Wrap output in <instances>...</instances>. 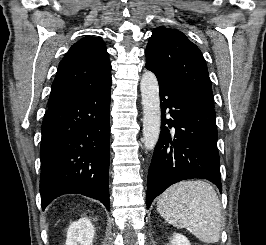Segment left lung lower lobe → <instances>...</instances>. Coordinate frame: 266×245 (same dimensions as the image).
I'll return each mask as SVG.
<instances>
[{
	"label": "left lung lower lobe",
	"mask_w": 266,
	"mask_h": 245,
	"mask_svg": "<svg viewBox=\"0 0 266 245\" xmlns=\"http://www.w3.org/2000/svg\"><path fill=\"white\" fill-rule=\"evenodd\" d=\"M155 75L163 116L159 141L148 171L147 208L170 185L186 179H207L221 192L214 108ZM166 109H169L170 119L164 114ZM171 128L175 133L172 137Z\"/></svg>",
	"instance_id": "0a47b994"
}]
</instances>
